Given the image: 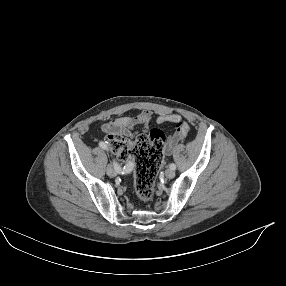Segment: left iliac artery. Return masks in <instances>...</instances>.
<instances>
[{
  "label": "left iliac artery",
  "instance_id": "obj_1",
  "mask_svg": "<svg viewBox=\"0 0 286 286\" xmlns=\"http://www.w3.org/2000/svg\"><path fill=\"white\" fill-rule=\"evenodd\" d=\"M170 169L175 170L176 169V165L174 163L170 164Z\"/></svg>",
  "mask_w": 286,
  "mask_h": 286
}]
</instances>
